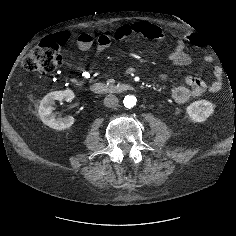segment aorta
<instances>
[{
    "mask_svg": "<svg viewBox=\"0 0 236 236\" xmlns=\"http://www.w3.org/2000/svg\"><path fill=\"white\" fill-rule=\"evenodd\" d=\"M136 97L133 95H126L124 100H123V104L126 108H132L136 105Z\"/></svg>",
    "mask_w": 236,
    "mask_h": 236,
    "instance_id": "762f6f07",
    "label": "aorta"
}]
</instances>
